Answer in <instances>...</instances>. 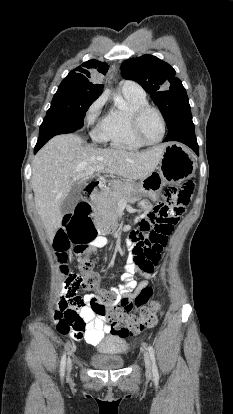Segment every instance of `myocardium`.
Instances as JSON below:
<instances>
[{"instance_id":"f54148a6","label":"myocardium","mask_w":233,"mask_h":414,"mask_svg":"<svg viewBox=\"0 0 233 414\" xmlns=\"http://www.w3.org/2000/svg\"><path fill=\"white\" fill-rule=\"evenodd\" d=\"M149 111H154L156 112L162 122V134L160 136V138L156 141H150L147 138H145V136L143 135L142 131H141V119L142 117ZM131 128L132 131L134 133V135L137 137L138 140H140L142 143L146 144V145H155L160 143L166 135V131H167V123H166V119L164 114L162 113V111L152 105H144L141 106L137 109H135L132 114H131Z\"/></svg>"}]
</instances>
